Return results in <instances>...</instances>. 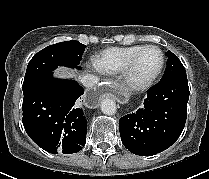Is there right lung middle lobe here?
<instances>
[{"mask_svg": "<svg viewBox=\"0 0 209 179\" xmlns=\"http://www.w3.org/2000/svg\"><path fill=\"white\" fill-rule=\"evenodd\" d=\"M85 45L78 41H65L48 46L38 52L30 60L24 82L23 93L41 77L51 73L58 66L80 68L79 63L85 50Z\"/></svg>", "mask_w": 209, "mask_h": 179, "instance_id": "1", "label": "right lung middle lobe"}]
</instances>
